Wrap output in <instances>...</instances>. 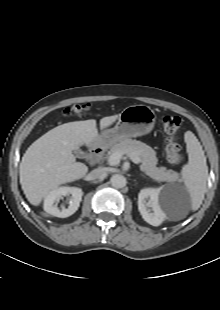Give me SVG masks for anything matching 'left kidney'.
<instances>
[{"label": "left kidney", "instance_id": "obj_1", "mask_svg": "<svg viewBox=\"0 0 220 310\" xmlns=\"http://www.w3.org/2000/svg\"><path fill=\"white\" fill-rule=\"evenodd\" d=\"M169 205V198L161 193L160 188H145L138 195V209L142 218L153 226L163 222Z\"/></svg>", "mask_w": 220, "mask_h": 310}]
</instances>
